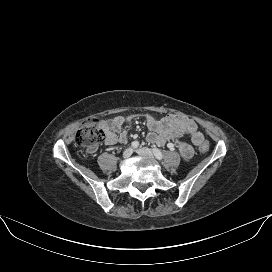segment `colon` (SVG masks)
<instances>
[{"label":"colon","instance_id":"5ec220e1","mask_svg":"<svg viewBox=\"0 0 272 272\" xmlns=\"http://www.w3.org/2000/svg\"><path fill=\"white\" fill-rule=\"evenodd\" d=\"M105 138L104 130L99 126L97 119H90L86 121L78 130L75 142L78 146L89 148L95 144H98ZM209 150L208 142H204L200 146L201 152H207Z\"/></svg>","mask_w":272,"mask_h":272}]
</instances>
